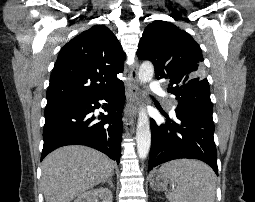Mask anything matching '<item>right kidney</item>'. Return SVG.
I'll return each instance as SVG.
<instances>
[{
	"label": "right kidney",
	"mask_w": 255,
	"mask_h": 202,
	"mask_svg": "<svg viewBox=\"0 0 255 202\" xmlns=\"http://www.w3.org/2000/svg\"><path fill=\"white\" fill-rule=\"evenodd\" d=\"M113 195L106 188L87 191L77 197L74 202H112Z\"/></svg>",
	"instance_id": "right-kidney-1"
}]
</instances>
